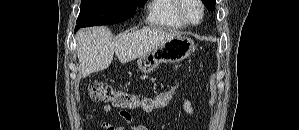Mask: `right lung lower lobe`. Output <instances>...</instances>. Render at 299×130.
Wrapping results in <instances>:
<instances>
[{
	"instance_id": "1",
	"label": "right lung lower lobe",
	"mask_w": 299,
	"mask_h": 130,
	"mask_svg": "<svg viewBox=\"0 0 299 130\" xmlns=\"http://www.w3.org/2000/svg\"><path fill=\"white\" fill-rule=\"evenodd\" d=\"M77 29H79V28L76 26V27H75V31H76Z\"/></svg>"
}]
</instances>
